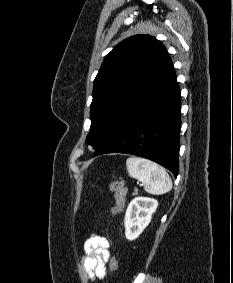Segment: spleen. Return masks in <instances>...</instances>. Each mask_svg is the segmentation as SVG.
Listing matches in <instances>:
<instances>
[{"mask_svg": "<svg viewBox=\"0 0 233 283\" xmlns=\"http://www.w3.org/2000/svg\"><path fill=\"white\" fill-rule=\"evenodd\" d=\"M129 175L140 180L144 189L153 195H162L172 189V180L166 170L150 160L130 157L126 160Z\"/></svg>", "mask_w": 233, "mask_h": 283, "instance_id": "1", "label": "spleen"}]
</instances>
